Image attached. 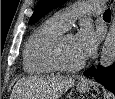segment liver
<instances>
[{"instance_id":"liver-1","label":"liver","mask_w":115,"mask_h":99,"mask_svg":"<svg viewBox=\"0 0 115 99\" xmlns=\"http://www.w3.org/2000/svg\"><path fill=\"white\" fill-rule=\"evenodd\" d=\"M74 83V77L63 76L21 79L15 86V97L17 99H58Z\"/></svg>"}]
</instances>
